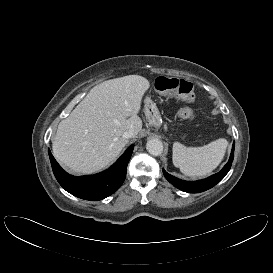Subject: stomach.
Returning a JSON list of instances; mask_svg holds the SVG:
<instances>
[{"mask_svg": "<svg viewBox=\"0 0 273 273\" xmlns=\"http://www.w3.org/2000/svg\"><path fill=\"white\" fill-rule=\"evenodd\" d=\"M154 88L161 95H169L173 92L174 81L165 75H159L154 79ZM144 113L150 124L158 127L161 125V115L156 103L151 97L144 100Z\"/></svg>", "mask_w": 273, "mask_h": 273, "instance_id": "0dacf381", "label": "stomach"}]
</instances>
